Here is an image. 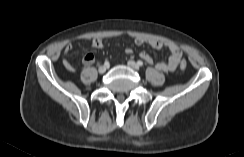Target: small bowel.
I'll list each match as a JSON object with an SVG mask.
<instances>
[{
    "instance_id": "1",
    "label": "small bowel",
    "mask_w": 244,
    "mask_h": 157,
    "mask_svg": "<svg viewBox=\"0 0 244 157\" xmlns=\"http://www.w3.org/2000/svg\"><path fill=\"white\" fill-rule=\"evenodd\" d=\"M134 43L136 45H143V44H148L150 47L155 48V49H163L166 48L170 52V56L167 60H162L158 63L154 62V59L146 52H141L140 57L149 65H154L155 68L159 71L162 72H172L174 71L182 57V52L180 48L173 42H160L157 40L153 39H143V38H135ZM91 45L95 49H101L105 47V43L101 38H94L91 42ZM73 46L72 44H68L65 47V53H69L72 50ZM125 52L127 54H132L133 50L131 48H126ZM95 58L92 53H86L83 58L82 62L85 66H90L94 63ZM64 66L69 69L70 63L65 59L63 61Z\"/></svg>"
}]
</instances>
